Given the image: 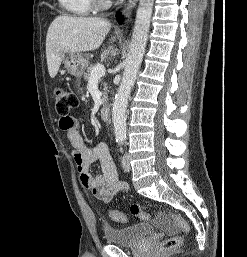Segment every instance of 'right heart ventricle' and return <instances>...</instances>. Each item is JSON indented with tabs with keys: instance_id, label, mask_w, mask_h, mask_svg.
Returning <instances> with one entry per match:
<instances>
[{
	"instance_id": "obj_1",
	"label": "right heart ventricle",
	"mask_w": 247,
	"mask_h": 257,
	"mask_svg": "<svg viewBox=\"0 0 247 257\" xmlns=\"http://www.w3.org/2000/svg\"><path fill=\"white\" fill-rule=\"evenodd\" d=\"M60 6L73 16H86L94 8L92 0H58Z\"/></svg>"
}]
</instances>
